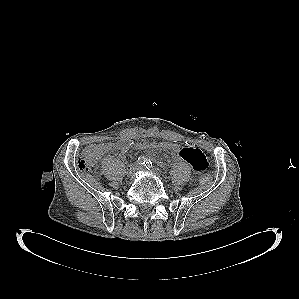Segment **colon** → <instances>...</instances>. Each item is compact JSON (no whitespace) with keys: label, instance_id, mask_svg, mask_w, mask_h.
Instances as JSON below:
<instances>
[{"label":"colon","instance_id":"obj_1","mask_svg":"<svg viewBox=\"0 0 299 299\" xmlns=\"http://www.w3.org/2000/svg\"><path fill=\"white\" fill-rule=\"evenodd\" d=\"M171 144L169 142H151L138 143L134 146L136 150H146L150 148L167 149ZM125 145L121 141L110 142L101 145H92L87 147L78 159V167L86 171H96L99 166V159L106 152L121 151ZM212 177L208 173L201 175L199 181L202 185L210 183Z\"/></svg>","mask_w":299,"mask_h":299}]
</instances>
